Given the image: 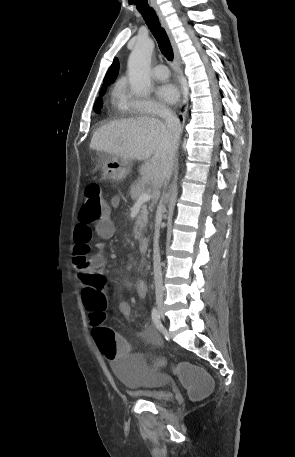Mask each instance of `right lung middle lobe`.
I'll return each instance as SVG.
<instances>
[{"label":"right lung middle lobe","mask_w":295,"mask_h":457,"mask_svg":"<svg viewBox=\"0 0 295 457\" xmlns=\"http://www.w3.org/2000/svg\"><path fill=\"white\" fill-rule=\"evenodd\" d=\"M105 91H106V87H102L100 96H103ZM102 106H103V100L99 97L94 105V110L96 111V113H100Z\"/></svg>","instance_id":"obj_1"}]
</instances>
